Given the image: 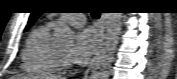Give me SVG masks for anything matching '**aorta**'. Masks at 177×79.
I'll use <instances>...</instances> for the list:
<instances>
[{"instance_id":"obj_1","label":"aorta","mask_w":177,"mask_h":79,"mask_svg":"<svg viewBox=\"0 0 177 79\" xmlns=\"http://www.w3.org/2000/svg\"><path fill=\"white\" fill-rule=\"evenodd\" d=\"M122 13H105V41L98 57L93 79H109L115 51L121 32ZM54 39L57 43L69 44L74 40V32L67 26L59 25L55 28Z\"/></svg>"}]
</instances>
